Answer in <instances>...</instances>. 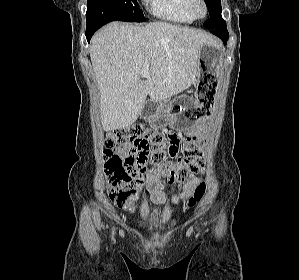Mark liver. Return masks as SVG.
<instances>
[{
  "label": "liver",
  "instance_id": "1",
  "mask_svg": "<svg viewBox=\"0 0 299 280\" xmlns=\"http://www.w3.org/2000/svg\"><path fill=\"white\" fill-rule=\"evenodd\" d=\"M206 44L217 45L200 31L166 22H111L98 31L90 43V58L103 129L132 125L147 95L161 102L194 84L200 50Z\"/></svg>",
  "mask_w": 299,
  "mask_h": 280
}]
</instances>
